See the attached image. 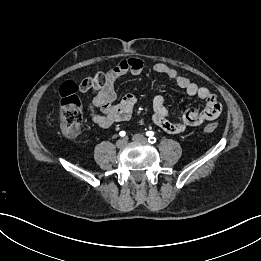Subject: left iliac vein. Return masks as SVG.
I'll use <instances>...</instances> for the list:
<instances>
[{"mask_svg": "<svg viewBox=\"0 0 261 261\" xmlns=\"http://www.w3.org/2000/svg\"><path fill=\"white\" fill-rule=\"evenodd\" d=\"M132 140L135 142H147V138L142 134H135Z\"/></svg>", "mask_w": 261, "mask_h": 261, "instance_id": "obj_1", "label": "left iliac vein"}]
</instances>
